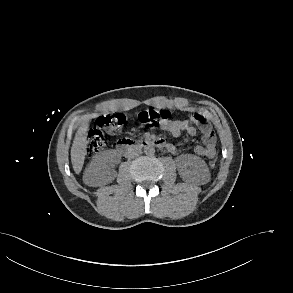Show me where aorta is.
<instances>
[{
	"mask_svg": "<svg viewBox=\"0 0 293 293\" xmlns=\"http://www.w3.org/2000/svg\"><path fill=\"white\" fill-rule=\"evenodd\" d=\"M144 153L148 156L154 155L155 153V148L153 145H146L144 147Z\"/></svg>",
	"mask_w": 293,
	"mask_h": 293,
	"instance_id": "762f6f07",
	"label": "aorta"
}]
</instances>
